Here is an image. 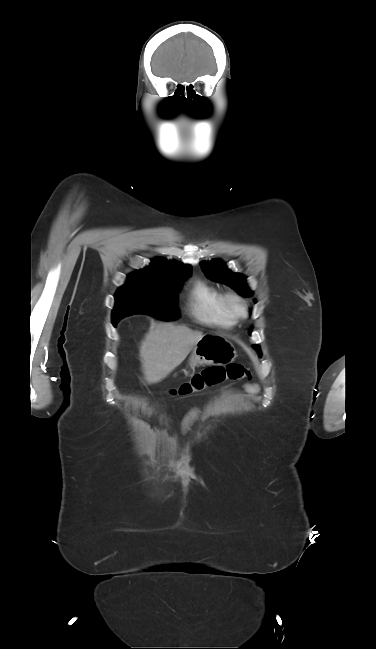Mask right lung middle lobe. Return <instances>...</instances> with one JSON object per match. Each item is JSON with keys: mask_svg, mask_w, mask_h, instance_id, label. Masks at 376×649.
<instances>
[{"mask_svg": "<svg viewBox=\"0 0 376 649\" xmlns=\"http://www.w3.org/2000/svg\"><path fill=\"white\" fill-rule=\"evenodd\" d=\"M189 275L190 271L162 277L139 272L128 275L127 283L120 287L115 295L113 325L119 319L137 313L149 314L162 320L177 319V293Z\"/></svg>", "mask_w": 376, "mask_h": 649, "instance_id": "1", "label": "right lung middle lobe"}]
</instances>
